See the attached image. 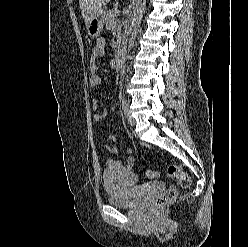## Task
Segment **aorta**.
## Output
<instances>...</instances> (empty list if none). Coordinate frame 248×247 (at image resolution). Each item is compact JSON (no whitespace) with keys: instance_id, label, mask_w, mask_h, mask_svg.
<instances>
[{"instance_id":"aorta-1","label":"aorta","mask_w":248,"mask_h":247,"mask_svg":"<svg viewBox=\"0 0 248 247\" xmlns=\"http://www.w3.org/2000/svg\"><path fill=\"white\" fill-rule=\"evenodd\" d=\"M146 0H134V7L132 13L131 20V35L128 43V53L134 46V39L136 38V34L141 24V20L143 17L144 9H145ZM129 58V55L126 57ZM126 66H123V72L125 71Z\"/></svg>"}]
</instances>
